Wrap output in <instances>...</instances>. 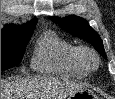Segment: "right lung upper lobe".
Instances as JSON below:
<instances>
[{
	"label": "right lung upper lobe",
	"instance_id": "1",
	"mask_svg": "<svg viewBox=\"0 0 115 99\" xmlns=\"http://www.w3.org/2000/svg\"><path fill=\"white\" fill-rule=\"evenodd\" d=\"M37 23L36 19L31 20L25 25L17 26V25H6L1 30V37L3 36H18V35H26L33 33L35 25Z\"/></svg>",
	"mask_w": 115,
	"mask_h": 99
}]
</instances>
